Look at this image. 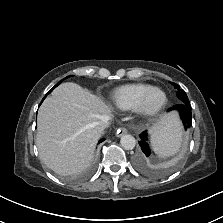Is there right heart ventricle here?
<instances>
[{"instance_id":"right-heart-ventricle-1","label":"right heart ventricle","mask_w":223,"mask_h":223,"mask_svg":"<svg viewBox=\"0 0 223 223\" xmlns=\"http://www.w3.org/2000/svg\"><path fill=\"white\" fill-rule=\"evenodd\" d=\"M150 88L152 86L146 83H129L119 86L113 90L111 102L119 110H133L143 94Z\"/></svg>"}]
</instances>
